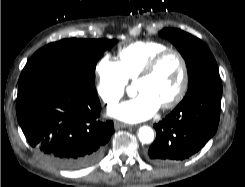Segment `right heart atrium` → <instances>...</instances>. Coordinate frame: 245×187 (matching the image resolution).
Returning a JSON list of instances; mask_svg holds the SVG:
<instances>
[{"label":"right heart atrium","mask_w":245,"mask_h":187,"mask_svg":"<svg viewBox=\"0 0 245 187\" xmlns=\"http://www.w3.org/2000/svg\"><path fill=\"white\" fill-rule=\"evenodd\" d=\"M97 94L106 105H114L123 97L128 81L118 62L111 56H102L95 67Z\"/></svg>","instance_id":"obj_1"}]
</instances>
